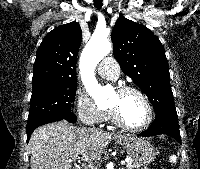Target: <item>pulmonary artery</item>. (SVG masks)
I'll use <instances>...</instances> for the list:
<instances>
[{"label": "pulmonary artery", "instance_id": "pulmonary-artery-1", "mask_svg": "<svg viewBox=\"0 0 200 169\" xmlns=\"http://www.w3.org/2000/svg\"><path fill=\"white\" fill-rule=\"evenodd\" d=\"M98 73L106 79H117L120 73V68L116 60L107 57L100 62Z\"/></svg>", "mask_w": 200, "mask_h": 169}]
</instances>
